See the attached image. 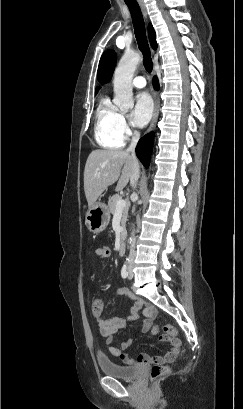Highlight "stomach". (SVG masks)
<instances>
[{
    "label": "stomach",
    "instance_id": "0dacf381",
    "mask_svg": "<svg viewBox=\"0 0 243 409\" xmlns=\"http://www.w3.org/2000/svg\"><path fill=\"white\" fill-rule=\"evenodd\" d=\"M109 221V209L101 202H96L86 212L85 224L88 230L93 233H100L105 230Z\"/></svg>",
    "mask_w": 243,
    "mask_h": 409
}]
</instances>
